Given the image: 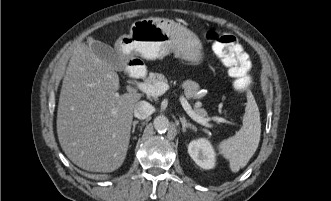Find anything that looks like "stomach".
<instances>
[{
  "label": "stomach",
  "mask_w": 331,
  "mask_h": 201,
  "mask_svg": "<svg viewBox=\"0 0 331 201\" xmlns=\"http://www.w3.org/2000/svg\"><path fill=\"white\" fill-rule=\"evenodd\" d=\"M116 46L124 55H140L147 60L162 59L169 53L198 64L202 61V44L187 28L165 18L135 21L129 34L120 36Z\"/></svg>",
  "instance_id": "obj_1"
}]
</instances>
